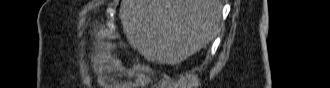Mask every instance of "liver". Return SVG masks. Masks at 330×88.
Here are the masks:
<instances>
[{
    "mask_svg": "<svg viewBox=\"0 0 330 88\" xmlns=\"http://www.w3.org/2000/svg\"><path fill=\"white\" fill-rule=\"evenodd\" d=\"M221 11L220 0H122L119 17L133 49L173 66L214 39Z\"/></svg>",
    "mask_w": 330,
    "mask_h": 88,
    "instance_id": "1",
    "label": "liver"
}]
</instances>
